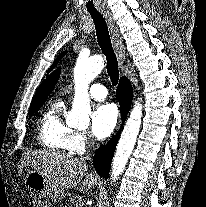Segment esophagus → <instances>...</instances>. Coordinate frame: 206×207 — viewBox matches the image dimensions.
I'll return each mask as SVG.
<instances>
[{
  "mask_svg": "<svg viewBox=\"0 0 206 207\" xmlns=\"http://www.w3.org/2000/svg\"><path fill=\"white\" fill-rule=\"evenodd\" d=\"M102 14L110 30V35L116 51L118 63L120 67H122L125 62V47L118 25L116 24L112 14L109 11H102Z\"/></svg>",
  "mask_w": 206,
  "mask_h": 207,
  "instance_id": "esophagus-1",
  "label": "esophagus"
}]
</instances>
